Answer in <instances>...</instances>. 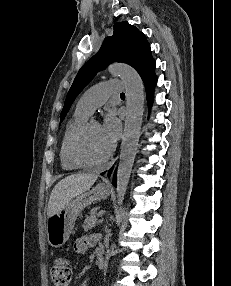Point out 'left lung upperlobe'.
<instances>
[{
  "instance_id": "1",
  "label": "left lung upper lobe",
  "mask_w": 231,
  "mask_h": 286,
  "mask_svg": "<svg viewBox=\"0 0 231 286\" xmlns=\"http://www.w3.org/2000/svg\"><path fill=\"white\" fill-rule=\"evenodd\" d=\"M152 60L151 49L145 35L133 25L128 24L127 21L116 23L113 36L104 40L99 52L90 58L77 73L67 94L60 122L63 121L71 104L82 89L98 71L104 69L111 62L127 63L139 72Z\"/></svg>"
}]
</instances>
